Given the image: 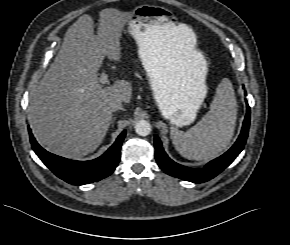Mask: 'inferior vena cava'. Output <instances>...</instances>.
Segmentation results:
<instances>
[{"label":"inferior vena cava","instance_id":"1","mask_svg":"<svg viewBox=\"0 0 290 245\" xmlns=\"http://www.w3.org/2000/svg\"><path fill=\"white\" fill-rule=\"evenodd\" d=\"M110 107H111V110H112V111L122 110V109H123L122 102L119 101V100L113 101V102L110 104Z\"/></svg>","mask_w":290,"mask_h":245}]
</instances>
